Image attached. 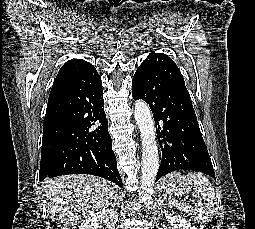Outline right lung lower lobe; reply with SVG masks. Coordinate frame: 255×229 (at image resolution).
I'll return each instance as SVG.
<instances>
[{"mask_svg":"<svg viewBox=\"0 0 255 229\" xmlns=\"http://www.w3.org/2000/svg\"><path fill=\"white\" fill-rule=\"evenodd\" d=\"M60 135L40 181L68 174L103 177L122 187L104 112L101 77L92 66L78 76L61 97L48 102L43 130Z\"/></svg>","mask_w":255,"mask_h":229,"instance_id":"98d812e1","label":"right lung lower lobe"}]
</instances>
